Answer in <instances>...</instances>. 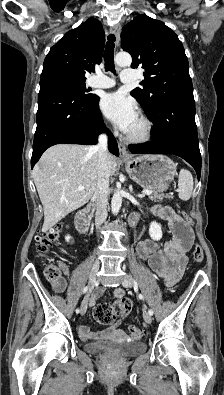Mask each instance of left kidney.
I'll return each mask as SVG.
<instances>
[{"label":"left kidney","mask_w":224,"mask_h":395,"mask_svg":"<svg viewBox=\"0 0 224 395\" xmlns=\"http://www.w3.org/2000/svg\"><path fill=\"white\" fill-rule=\"evenodd\" d=\"M149 235L153 240H160L163 235L161 225L157 222H152L149 227Z\"/></svg>","instance_id":"1"}]
</instances>
